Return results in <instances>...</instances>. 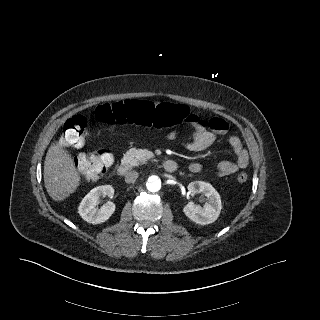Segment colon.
I'll use <instances>...</instances> for the list:
<instances>
[{
	"instance_id": "colon-1",
	"label": "colon",
	"mask_w": 320,
	"mask_h": 320,
	"mask_svg": "<svg viewBox=\"0 0 320 320\" xmlns=\"http://www.w3.org/2000/svg\"><path fill=\"white\" fill-rule=\"evenodd\" d=\"M93 116L102 123L137 124L145 127L165 128L184 121V106L172 103L154 104L149 101L130 99L117 103H106L95 108ZM87 134V119L76 115L65 121L61 140L65 146L79 147ZM113 164L111 153L100 150L93 153H81L76 158L80 172L90 180L101 178ZM237 180L245 183L248 175L238 174Z\"/></svg>"
}]
</instances>
